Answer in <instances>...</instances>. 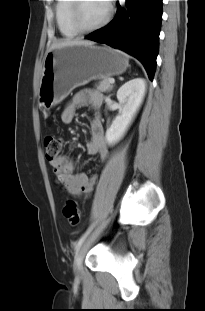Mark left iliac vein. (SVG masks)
I'll return each mask as SVG.
<instances>
[{
    "label": "left iliac vein",
    "mask_w": 205,
    "mask_h": 311,
    "mask_svg": "<svg viewBox=\"0 0 205 311\" xmlns=\"http://www.w3.org/2000/svg\"><path fill=\"white\" fill-rule=\"evenodd\" d=\"M85 247H86V244H84L75 255L74 268L77 273H79L82 269V262L84 258Z\"/></svg>",
    "instance_id": "1"
}]
</instances>
